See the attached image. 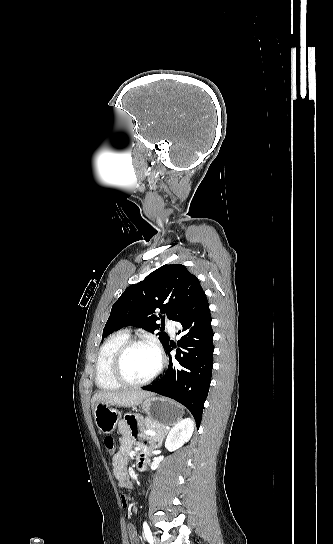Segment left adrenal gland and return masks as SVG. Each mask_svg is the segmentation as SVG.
<instances>
[{
    "instance_id": "a2214340",
    "label": "left adrenal gland",
    "mask_w": 333,
    "mask_h": 544,
    "mask_svg": "<svg viewBox=\"0 0 333 544\" xmlns=\"http://www.w3.org/2000/svg\"><path fill=\"white\" fill-rule=\"evenodd\" d=\"M167 433H168V431L163 432V433H161L160 435H158V436L156 437V440H155V441L157 442V447H161V446H162L163 440H164L165 436L167 435Z\"/></svg>"
}]
</instances>
